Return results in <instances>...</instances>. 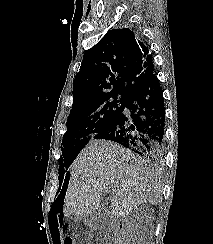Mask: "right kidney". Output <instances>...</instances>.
Returning a JSON list of instances; mask_svg holds the SVG:
<instances>
[{"label": "right kidney", "instance_id": "1", "mask_svg": "<svg viewBox=\"0 0 213 244\" xmlns=\"http://www.w3.org/2000/svg\"><path fill=\"white\" fill-rule=\"evenodd\" d=\"M139 211H140V209H136L135 212L133 213V216L137 217V215L139 214Z\"/></svg>", "mask_w": 213, "mask_h": 244}]
</instances>
